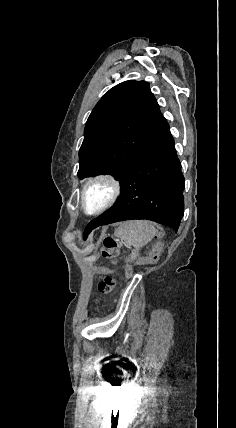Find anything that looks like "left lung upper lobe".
<instances>
[{
  "label": "left lung upper lobe",
  "mask_w": 236,
  "mask_h": 428,
  "mask_svg": "<svg viewBox=\"0 0 236 428\" xmlns=\"http://www.w3.org/2000/svg\"><path fill=\"white\" fill-rule=\"evenodd\" d=\"M161 117L148 82L129 80L111 88L87 120L79 151L80 179L111 174L120 181Z\"/></svg>",
  "instance_id": "5c2ea615"
}]
</instances>
